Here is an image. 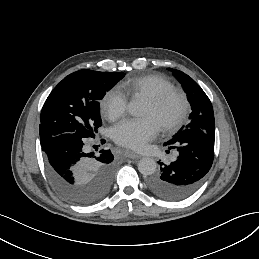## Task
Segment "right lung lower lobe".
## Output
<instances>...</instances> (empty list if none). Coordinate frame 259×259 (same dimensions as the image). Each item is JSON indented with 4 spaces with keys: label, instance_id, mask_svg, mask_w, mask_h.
Wrapping results in <instances>:
<instances>
[{
    "label": "right lung lower lobe",
    "instance_id": "1",
    "mask_svg": "<svg viewBox=\"0 0 259 259\" xmlns=\"http://www.w3.org/2000/svg\"><path fill=\"white\" fill-rule=\"evenodd\" d=\"M62 134L51 139L44 151L47 173L56 190L77 205H91L106 196L114 174V156L110 150L88 152L91 139ZM104 144L105 140L101 139Z\"/></svg>",
    "mask_w": 259,
    "mask_h": 259
}]
</instances>
